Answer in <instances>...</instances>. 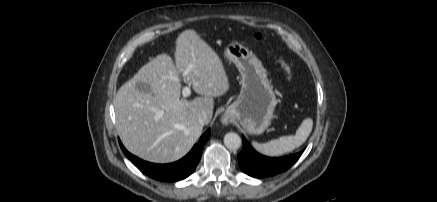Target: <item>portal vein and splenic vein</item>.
Returning a JSON list of instances; mask_svg holds the SVG:
<instances>
[{"label": "portal vein and splenic vein", "instance_id": "obj_1", "mask_svg": "<svg viewBox=\"0 0 437 202\" xmlns=\"http://www.w3.org/2000/svg\"><path fill=\"white\" fill-rule=\"evenodd\" d=\"M189 72V69H186L184 75ZM183 97H188L191 94L190 86H185L182 91Z\"/></svg>", "mask_w": 437, "mask_h": 202}]
</instances>
